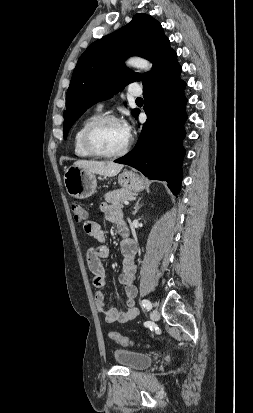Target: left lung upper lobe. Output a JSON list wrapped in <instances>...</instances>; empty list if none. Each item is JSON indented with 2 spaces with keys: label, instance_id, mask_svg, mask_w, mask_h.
<instances>
[{
  "label": "left lung upper lobe",
  "instance_id": "left-lung-upper-lobe-1",
  "mask_svg": "<svg viewBox=\"0 0 253 413\" xmlns=\"http://www.w3.org/2000/svg\"><path fill=\"white\" fill-rule=\"evenodd\" d=\"M174 50L160 23L147 14H136L119 30L93 42L80 56L66 94L64 139L74 122L93 104L111 98L128 83L151 80ZM130 56L153 63L151 72L135 73L123 64ZM139 110H132L137 116Z\"/></svg>",
  "mask_w": 253,
  "mask_h": 413
}]
</instances>
